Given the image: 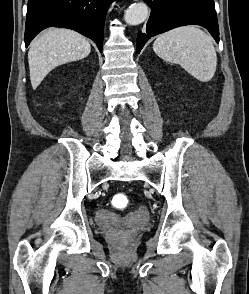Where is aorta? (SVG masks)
Returning <instances> with one entry per match:
<instances>
[{
	"label": "aorta",
	"mask_w": 249,
	"mask_h": 294,
	"mask_svg": "<svg viewBox=\"0 0 249 294\" xmlns=\"http://www.w3.org/2000/svg\"><path fill=\"white\" fill-rule=\"evenodd\" d=\"M148 7L144 3H135L125 12L124 20L129 25H138L144 22L148 17Z\"/></svg>",
	"instance_id": "obj_1"
}]
</instances>
